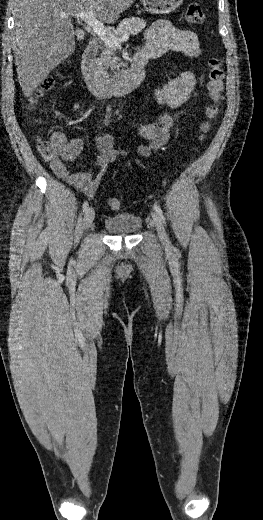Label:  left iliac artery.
<instances>
[{
    "label": "left iliac artery",
    "instance_id": "44dca946",
    "mask_svg": "<svg viewBox=\"0 0 263 520\" xmlns=\"http://www.w3.org/2000/svg\"><path fill=\"white\" fill-rule=\"evenodd\" d=\"M154 210L157 212V214H158L160 220H161L163 223H166V222H165V217H164V215H163V212H162L160 206L157 205V204H154Z\"/></svg>",
    "mask_w": 263,
    "mask_h": 520
}]
</instances>
